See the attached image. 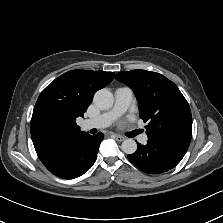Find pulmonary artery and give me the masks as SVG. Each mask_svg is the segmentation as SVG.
<instances>
[{"label":"pulmonary artery","instance_id":"e3ab8cb5","mask_svg":"<svg viewBox=\"0 0 223 223\" xmlns=\"http://www.w3.org/2000/svg\"><path fill=\"white\" fill-rule=\"evenodd\" d=\"M114 96V106L110 110L84 121V125L87 129H101L110 126L118 117L129 109L133 102V93L128 87L117 88L114 92ZM136 139L141 145H146L149 141L148 136L143 132H138L136 134Z\"/></svg>","mask_w":223,"mask_h":223}]
</instances>
